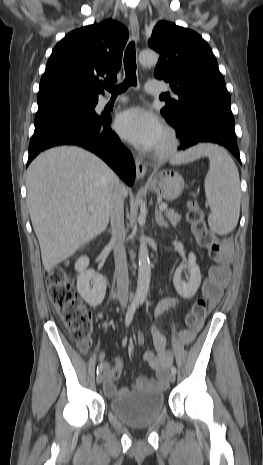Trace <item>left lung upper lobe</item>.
I'll return each mask as SVG.
<instances>
[{
  "label": "left lung upper lobe",
  "instance_id": "1",
  "mask_svg": "<svg viewBox=\"0 0 263 465\" xmlns=\"http://www.w3.org/2000/svg\"><path fill=\"white\" fill-rule=\"evenodd\" d=\"M149 46L160 53L154 75L170 83L179 100L166 102L161 114L174 121L202 105L231 110L230 94L207 42L196 32L159 21Z\"/></svg>",
  "mask_w": 263,
  "mask_h": 465
}]
</instances>
